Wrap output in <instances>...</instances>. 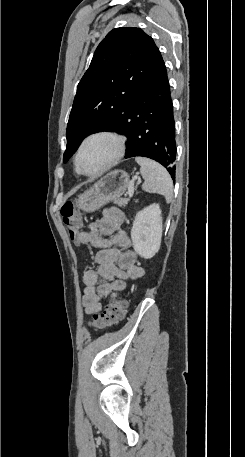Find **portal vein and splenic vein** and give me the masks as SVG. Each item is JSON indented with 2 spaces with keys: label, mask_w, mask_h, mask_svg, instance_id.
Segmentation results:
<instances>
[{
  "label": "portal vein and splenic vein",
  "mask_w": 245,
  "mask_h": 457,
  "mask_svg": "<svg viewBox=\"0 0 245 457\" xmlns=\"http://www.w3.org/2000/svg\"><path fill=\"white\" fill-rule=\"evenodd\" d=\"M135 178H136V176H133L131 182H128V187H127L128 189L127 190H128L129 196H133V194H134L133 182H134Z\"/></svg>",
  "instance_id": "portal-vein-and-splenic-vein-1"
}]
</instances>
